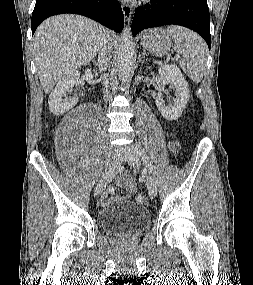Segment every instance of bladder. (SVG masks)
I'll use <instances>...</instances> for the list:
<instances>
[{"instance_id": "31cf9c89", "label": "bladder", "mask_w": 253, "mask_h": 285, "mask_svg": "<svg viewBox=\"0 0 253 285\" xmlns=\"http://www.w3.org/2000/svg\"><path fill=\"white\" fill-rule=\"evenodd\" d=\"M98 220L106 234L126 237L143 232L150 224V215L139 204L125 203L102 208Z\"/></svg>"}]
</instances>
